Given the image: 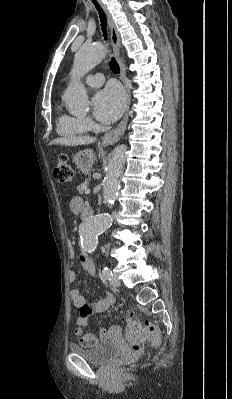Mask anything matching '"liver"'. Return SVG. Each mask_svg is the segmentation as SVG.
<instances>
[{
  "label": "liver",
  "instance_id": "6515ba94",
  "mask_svg": "<svg viewBox=\"0 0 232 399\" xmlns=\"http://www.w3.org/2000/svg\"><path fill=\"white\" fill-rule=\"evenodd\" d=\"M95 142V138H87V136H75V138H56L52 140L49 146L53 144H62V146H82V144H91Z\"/></svg>",
  "mask_w": 232,
  "mask_h": 399
}]
</instances>
